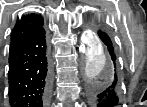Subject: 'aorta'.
<instances>
[{"instance_id": "762f6f07", "label": "aorta", "mask_w": 147, "mask_h": 107, "mask_svg": "<svg viewBox=\"0 0 147 107\" xmlns=\"http://www.w3.org/2000/svg\"><path fill=\"white\" fill-rule=\"evenodd\" d=\"M80 50L85 60V75L89 82L108 80L113 74L111 59L100 40L92 33L83 36Z\"/></svg>"}]
</instances>
